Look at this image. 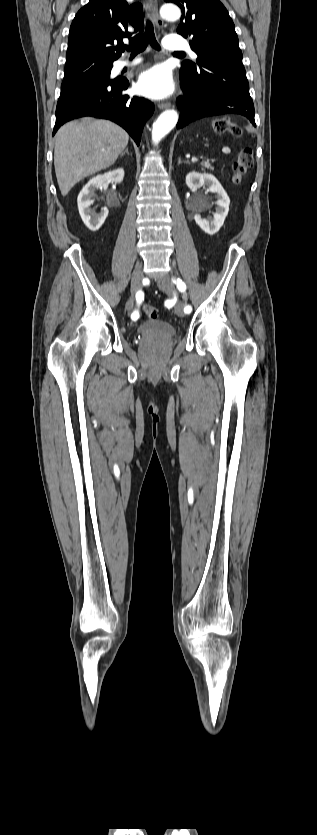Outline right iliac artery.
Listing matches in <instances>:
<instances>
[{
    "label": "right iliac artery",
    "mask_w": 317,
    "mask_h": 835,
    "mask_svg": "<svg viewBox=\"0 0 317 835\" xmlns=\"http://www.w3.org/2000/svg\"><path fill=\"white\" fill-rule=\"evenodd\" d=\"M135 298H136V302H137V304H138V305H140V304L142 303V301L144 300V293H143L142 291H138V292L136 293V295H135ZM138 318H139V313H138V311H134V312L131 314V319H132V320H137Z\"/></svg>",
    "instance_id": "obj_1"
}]
</instances>
